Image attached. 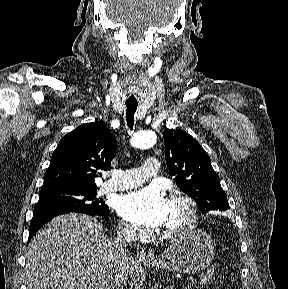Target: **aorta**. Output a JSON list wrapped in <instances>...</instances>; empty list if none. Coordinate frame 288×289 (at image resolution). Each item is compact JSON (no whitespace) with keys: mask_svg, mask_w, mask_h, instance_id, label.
I'll return each mask as SVG.
<instances>
[{"mask_svg":"<svg viewBox=\"0 0 288 289\" xmlns=\"http://www.w3.org/2000/svg\"><path fill=\"white\" fill-rule=\"evenodd\" d=\"M156 142V135L152 131H142L131 138L132 146L136 148H149Z\"/></svg>","mask_w":288,"mask_h":289,"instance_id":"aorta-1","label":"aorta"}]
</instances>
